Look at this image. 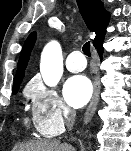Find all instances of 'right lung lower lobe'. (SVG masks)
I'll use <instances>...</instances> for the list:
<instances>
[{"label":"right lung lower lobe","mask_w":131,"mask_h":151,"mask_svg":"<svg viewBox=\"0 0 131 151\" xmlns=\"http://www.w3.org/2000/svg\"><path fill=\"white\" fill-rule=\"evenodd\" d=\"M95 48L97 49L99 55H100V58H102V53H103V42L95 45Z\"/></svg>","instance_id":"right-lung-lower-lobe-1"}]
</instances>
